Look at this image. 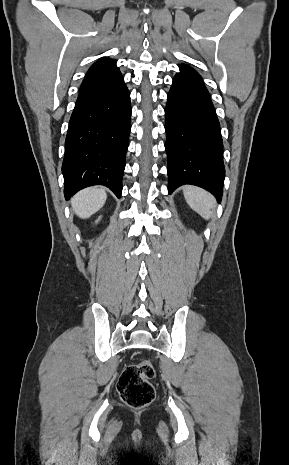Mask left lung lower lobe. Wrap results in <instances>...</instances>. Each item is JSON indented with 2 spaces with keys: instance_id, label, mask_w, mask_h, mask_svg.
<instances>
[{
  "instance_id": "1",
  "label": "left lung lower lobe",
  "mask_w": 289,
  "mask_h": 465,
  "mask_svg": "<svg viewBox=\"0 0 289 465\" xmlns=\"http://www.w3.org/2000/svg\"><path fill=\"white\" fill-rule=\"evenodd\" d=\"M179 68L165 108L168 191L193 184L220 203L225 178L220 124L200 75L189 66Z\"/></svg>"
}]
</instances>
